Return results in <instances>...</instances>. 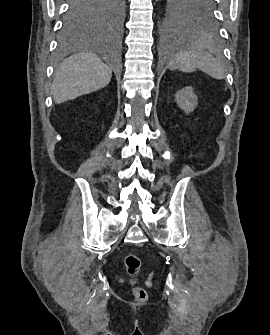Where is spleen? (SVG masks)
<instances>
[{
    "label": "spleen",
    "mask_w": 270,
    "mask_h": 335,
    "mask_svg": "<svg viewBox=\"0 0 270 335\" xmlns=\"http://www.w3.org/2000/svg\"><path fill=\"white\" fill-rule=\"evenodd\" d=\"M168 68L171 70H181V72H194L195 68L202 70L204 74L212 76L215 80H224L225 78V66L222 62L213 58L212 54L201 50L199 44H184L181 46H175L172 60L168 64Z\"/></svg>",
    "instance_id": "3e777b00"
}]
</instances>
